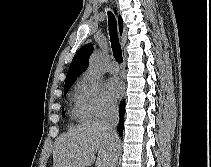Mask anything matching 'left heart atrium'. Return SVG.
I'll list each match as a JSON object with an SVG mask.
<instances>
[{
    "mask_svg": "<svg viewBox=\"0 0 211 167\" xmlns=\"http://www.w3.org/2000/svg\"><path fill=\"white\" fill-rule=\"evenodd\" d=\"M106 91L113 100L118 99L124 91L123 82L117 77L108 79L106 82Z\"/></svg>",
    "mask_w": 211,
    "mask_h": 167,
    "instance_id": "obj_1",
    "label": "left heart atrium"
}]
</instances>
